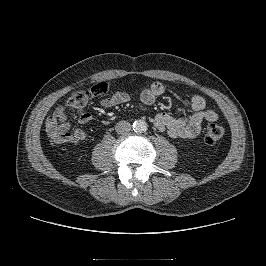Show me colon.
<instances>
[{
    "instance_id": "5ec220e1",
    "label": "colon",
    "mask_w": 266,
    "mask_h": 266,
    "mask_svg": "<svg viewBox=\"0 0 266 266\" xmlns=\"http://www.w3.org/2000/svg\"><path fill=\"white\" fill-rule=\"evenodd\" d=\"M109 86L105 82L97 83L95 85L84 88L81 91L74 93V95L87 96L89 98L103 95L107 92ZM224 136V128L214 122H210L205 126L204 141L207 145L218 144Z\"/></svg>"
}]
</instances>
